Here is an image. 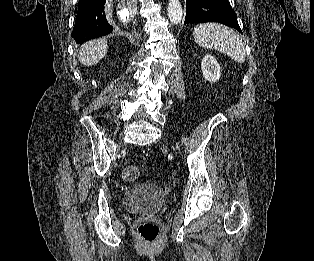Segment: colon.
I'll return each instance as SVG.
<instances>
[{"instance_id": "1", "label": "colon", "mask_w": 314, "mask_h": 261, "mask_svg": "<svg viewBox=\"0 0 314 261\" xmlns=\"http://www.w3.org/2000/svg\"><path fill=\"white\" fill-rule=\"evenodd\" d=\"M141 173V167L129 165L124 168L122 176L124 180L131 182L136 180ZM137 231L146 242H153L159 235L160 227L156 222L144 221L139 224Z\"/></svg>"}]
</instances>
